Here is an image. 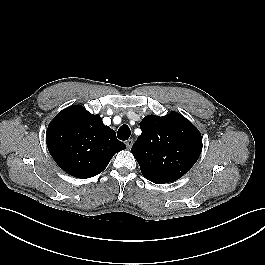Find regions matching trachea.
Instances as JSON below:
<instances>
[{"instance_id":"trachea-1","label":"trachea","mask_w":265,"mask_h":265,"mask_svg":"<svg viewBox=\"0 0 265 265\" xmlns=\"http://www.w3.org/2000/svg\"><path fill=\"white\" fill-rule=\"evenodd\" d=\"M131 131L128 125L124 124L122 125L118 130V138L122 141L128 140L130 137Z\"/></svg>"}]
</instances>
